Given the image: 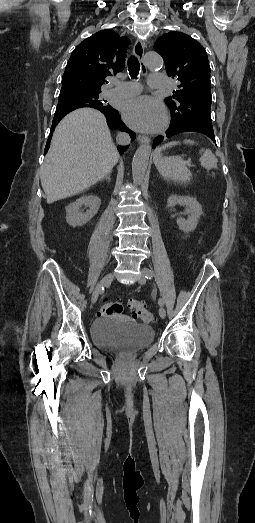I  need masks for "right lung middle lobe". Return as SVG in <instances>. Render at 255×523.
<instances>
[{
	"mask_svg": "<svg viewBox=\"0 0 255 523\" xmlns=\"http://www.w3.org/2000/svg\"><path fill=\"white\" fill-rule=\"evenodd\" d=\"M100 92L61 90L59 102H74L76 106H86L88 101H95L99 98Z\"/></svg>",
	"mask_w": 255,
	"mask_h": 523,
	"instance_id": "dd1d6c3e",
	"label": "right lung middle lobe"
}]
</instances>
